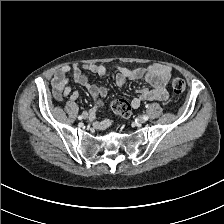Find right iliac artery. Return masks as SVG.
Returning a JSON list of instances; mask_svg holds the SVG:
<instances>
[{"label": "right iliac artery", "instance_id": "1", "mask_svg": "<svg viewBox=\"0 0 224 224\" xmlns=\"http://www.w3.org/2000/svg\"><path fill=\"white\" fill-rule=\"evenodd\" d=\"M84 113V112H83ZM83 118V115H80L79 117H78V119L79 120H81Z\"/></svg>", "mask_w": 224, "mask_h": 224}]
</instances>
